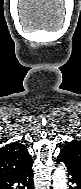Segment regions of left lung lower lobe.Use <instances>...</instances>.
Segmentation results:
<instances>
[{
	"label": "left lung lower lobe",
	"mask_w": 81,
	"mask_h": 189,
	"mask_svg": "<svg viewBox=\"0 0 81 189\" xmlns=\"http://www.w3.org/2000/svg\"><path fill=\"white\" fill-rule=\"evenodd\" d=\"M57 164L65 165L69 175V182L72 184L69 186L70 189H81V174L73 170L67 165L64 157L59 153L57 157Z\"/></svg>",
	"instance_id": "1"
}]
</instances>
